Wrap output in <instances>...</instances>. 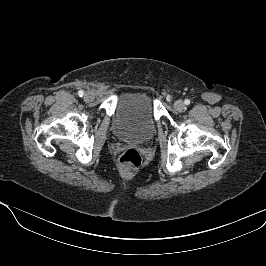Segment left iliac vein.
<instances>
[{
	"mask_svg": "<svg viewBox=\"0 0 266 266\" xmlns=\"http://www.w3.org/2000/svg\"><path fill=\"white\" fill-rule=\"evenodd\" d=\"M174 108L181 112L183 111V109L185 108V104L182 100H177L175 103H174Z\"/></svg>",
	"mask_w": 266,
	"mask_h": 266,
	"instance_id": "1",
	"label": "left iliac vein"
}]
</instances>
